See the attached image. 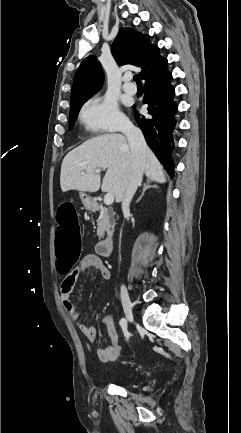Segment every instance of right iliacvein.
Listing matches in <instances>:
<instances>
[{
  "mask_svg": "<svg viewBox=\"0 0 241 433\" xmlns=\"http://www.w3.org/2000/svg\"><path fill=\"white\" fill-rule=\"evenodd\" d=\"M121 299L125 316L128 321H133L132 303L129 293L124 285L121 286Z\"/></svg>",
  "mask_w": 241,
  "mask_h": 433,
  "instance_id": "right-iliac-vein-1",
  "label": "right iliac vein"
}]
</instances>
